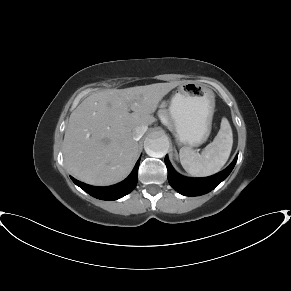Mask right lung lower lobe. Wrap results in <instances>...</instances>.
Masks as SVG:
<instances>
[{"label": "right lung lower lobe", "mask_w": 291, "mask_h": 291, "mask_svg": "<svg viewBox=\"0 0 291 291\" xmlns=\"http://www.w3.org/2000/svg\"><path fill=\"white\" fill-rule=\"evenodd\" d=\"M140 159L137 161L133 171L131 174L122 182L108 186V187H95L90 186L85 183H82L73 177L71 179L73 182L79 186L81 189H83L85 192L90 194L91 196L101 199V200H116L119 199L128 193H130L136 186L138 181V168H139Z\"/></svg>", "instance_id": "right-lung-lower-lobe-1"}]
</instances>
